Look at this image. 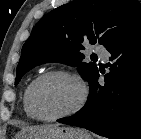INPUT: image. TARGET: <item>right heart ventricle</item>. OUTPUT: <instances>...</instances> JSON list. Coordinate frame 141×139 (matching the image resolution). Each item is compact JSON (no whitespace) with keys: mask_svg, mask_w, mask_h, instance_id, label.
I'll return each instance as SVG.
<instances>
[{"mask_svg":"<svg viewBox=\"0 0 141 139\" xmlns=\"http://www.w3.org/2000/svg\"><path fill=\"white\" fill-rule=\"evenodd\" d=\"M27 89L28 87L26 88L24 95H23V110L28 118L35 119L33 115L31 114V112L29 111L28 106H27Z\"/></svg>","mask_w":141,"mask_h":139,"instance_id":"obj_1","label":"right heart ventricle"}]
</instances>
